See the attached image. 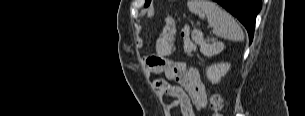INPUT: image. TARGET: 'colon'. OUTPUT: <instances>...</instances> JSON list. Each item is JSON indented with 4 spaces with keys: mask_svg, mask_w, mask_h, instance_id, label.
I'll return each instance as SVG.
<instances>
[{
    "mask_svg": "<svg viewBox=\"0 0 305 116\" xmlns=\"http://www.w3.org/2000/svg\"><path fill=\"white\" fill-rule=\"evenodd\" d=\"M210 107L213 111V116H221L220 111L222 109V101L218 95L212 94L210 96Z\"/></svg>",
    "mask_w": 305,
    "mask_h": 116,
    "instance_id": "obj_1",
    "label": "colon"
}]
</instances>
